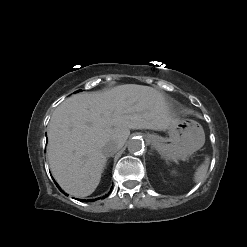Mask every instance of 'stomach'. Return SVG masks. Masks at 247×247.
Wrapping results in <instances>:
<instances>
[{
	"label": "stomach",
	"mask_w": 247,
	"mask_h": 247,
	"mask_svg": "<svg viewBox=\"0 0 247 247\" xmlns=\"http://www.w3.org/2000/svg\"><path fill=\"white\" fill-rule=\"evenodd\" d=\"M169 137L148 135L152 146L160 152L166 160L176 161L199 150L205 143L203 127L191 119L177 118L170 126Z\"/></svg>",
	"instance_id": "1"
}]
</instances>
